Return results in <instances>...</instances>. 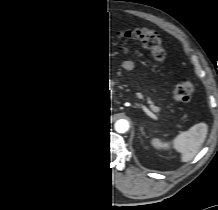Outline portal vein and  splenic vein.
Instances as JSON below:
<instances>
[{
    "mask_svg": "<svg viewBox=\"0 0 218 210\" xmlns=\"http://www.w3.org/2000/svg\"><path fill=\"white\" fill-rule=\"evenodd\" d=\"M143 111L148 115L150 116L152 119L154 120H159V118L154 114L152 113L148 108H146L145 106L142 107Z\"/></svg>",
    "mask_w": 218,
    "mask_h": 210,
    "instance_id": "1",
    "label": "portal vein and splenic vein"
}]
</instances>
